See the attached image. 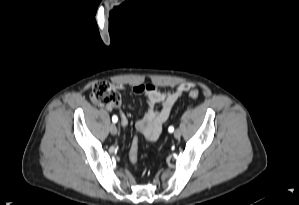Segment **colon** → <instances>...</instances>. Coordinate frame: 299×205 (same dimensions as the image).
<instances>
[{
    "label": "colon",
    "mask_w": 299,
    "mask_h": 205,
    "mask_svg": "<svg viewBox=\"0 0 299 205\" xmlns=\"http://www.w3.org/2000/svg\"><path fill=\"white\" fill-rule=\"evenodd\" d=\"M189 96L193 99L199 97V92L191 88L189 90ZM90 98L93 103L108 108L113 109L120 105L121 97L118 90L107 81H98L96 82L91 90ZM130 159L133 163H136L138 160V140L134 139L131 151Z\"/></svg>",
    "instance_id": "obj_1"
}]
</instances>
